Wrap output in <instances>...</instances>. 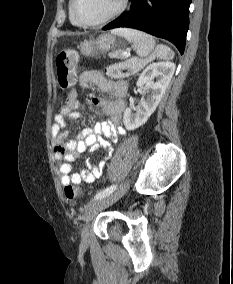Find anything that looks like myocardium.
Instances as JSON below:
<instances>
[{"instance_id":"1","label":"myocardium","mask_w":233,"mask_h":284,"mask_svg":"<svg viewBox=\"0 0 233 284\" xmlns=\"http://www.w3.org/2000/svg\"><path fill=\"white\" fill-rule=\"evenodd\" d=\"M71 1H72L71 14L74 20L77 22L78 25L84 26V27H96V26H100V25L106 24L114 20L125 10L127 3H128V0H120L117 8L113 12H111L109 15H107L106 17L102 18L101 20L95 21V22H85L81 20L77 15L76 7H77L78 0H71Z\"/></svg>"}]
</instances>
